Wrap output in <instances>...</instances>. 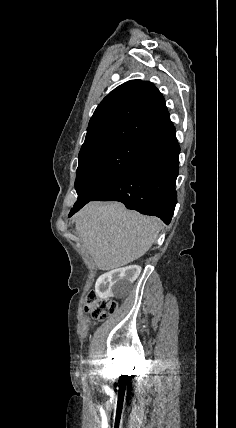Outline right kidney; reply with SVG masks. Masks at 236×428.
<instances>
[{
  "label": "right kidney",
  "instance_id": "obj_1",
  "mask_svg": "<svg viewBox=\"0 0 236 428\" xmlns=\"http://www.w3.org/2000/svg\"><path fill=\"white\" fill-rule=\"evenodd\" d=\"M141 266H127V268L104 269L101 278L97 279L95 290L100 293V300L123 301L124 293L131 292L132 284L137 280ZM121 280L123 283H121ZM99 286V288H98Z\"/></svg>",
  "mask_w": 236,
  "mask_h": 428
}]
</instances>
